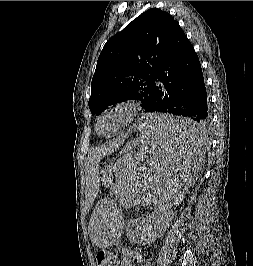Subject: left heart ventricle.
<instances>
[{
	"label": "left heart ventricle",
	"instance_id": "b2bd125f",
	"mask_svg": "<svg viewBox=\"0 0 253 266\" xmlns=\"http://www.w3.org/2000/svg\"><path fill=\"white\" fill-rule=\"evenodd\" d=\"M123 114L121 112H111L106 114L99 123V132L108 135L115 131L123 122Z\"/></svg>",
	"mask_w": 253,
	"mask_h": 266
}]
</instances>
